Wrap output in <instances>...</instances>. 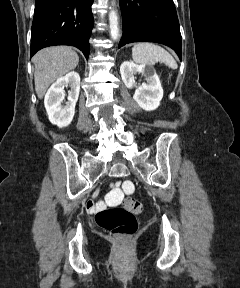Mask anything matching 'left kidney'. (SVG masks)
I'll return each mask as SVG.
<instances>
[{"label":"left kidney","mask_w":240,"mask_h":288,"mask_svg":"<svg viewBox=\"0 0 240 288\" xmlns=\"http://www.w3.org/2000/svg\"><path fill=\"white\" fill-rule=\"evenodd\" d=\"M120 73L127 88H136L133 99L142 109L153 111L159 107L163 97V89L154 69L125 61L120 66ZM137 73L145 76L146 83L136 85L135 75Z\"/></svg>","instance_id":"obj_1"}]
</instances>
